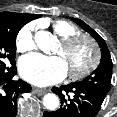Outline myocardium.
<instances>
[{"mask_svg":"<svg viewBox=\"0 0 117 117\" xmlns=\"http://www.w3.org/2000/svg\"><path fill=\"white\" fill-rule=\"evenodd\" d=\"M87 43L91 50L90 61L79 70H69V75L72 79L80 80L91 74L100 62V49L97 42L89 35L78 34L62 40L61 46L65 53L74 50L79 44Z\"/></svg>","mask_w":117,"mask_h":117,"instance_id":"f54148a6","label":"myocardium"}]
</instances>
